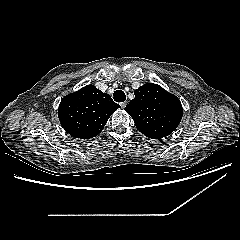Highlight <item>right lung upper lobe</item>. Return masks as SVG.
<instances>
[{"label": "right lung upper lobe", "instance_id": "cb5924a9", "mask_svg": "<svg viewBox=\"0 0 240 240\" xmlns=\"http://www.w3.org/2000/svg\"><path fill=\"white\" fill-rule=\"evenodd\" d=\"M119 107L110 95L87 85L61 100L58 117L71 136L90 139L103 130L109 117Z\"/></svg>", "mask_w": 240, "mask_h": 240}]
</instances>
